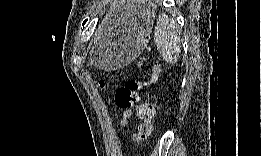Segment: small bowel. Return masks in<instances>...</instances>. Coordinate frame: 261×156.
<instances>
[{"mask_svg": "<svg viewBox=\"0 0 261 156\" xmlns=\"http://www.w3.org/2000/svg\"><path fill=\"white\" fill-rule=\"evenodd\" d=\"M130 117H131V112L129 110H125L122 113V117H121V120H120V124H121L122 127H126L128 125V120H129Z\"/></svg>", "mask_w": 261, "mask_h": 156, "instance_id": "c3829d8e", "label": "small bowel"}]
</instances>
